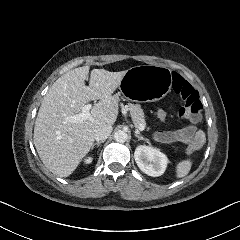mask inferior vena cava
Listing matches in <instances>:
<instances>
[{
    "instance_id": "obj_1",
    "label": "inferior vena cava",
    "mask_w": 240,
    "mask_h": 240,
    "mask_svg": "<svg viewBox=\"0 0 240 240\" xmlns=\"http://www.w3.org/2000/svg\"><path fill=\"white\" fill-rule=\"evenodd\" d=\"M113 128L111 125H103L95 130L94 139L96 141H105L111 134Z\"/></svg>"
}]
</instances>
